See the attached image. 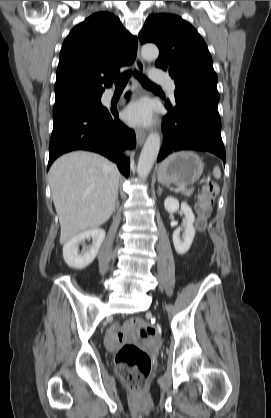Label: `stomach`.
<instances>
[{
	"label": "stomach",
	"instance_id": "stomach-1",
	"mask_svg": "<svg viewBox=\"0 0 271 418\" xmlns=\"http://www.w3.org/2000/svg\"><path fill=\"white\" fill-rule=\"evenodd\" d=\"M204 163L194 152L181 151L168 156L157 171L158 181L164 185L185 186L195 183L202 175Z\"/></svg>",
	"mask_w": 271,
	"mask_h": 418
}]
</instances>
